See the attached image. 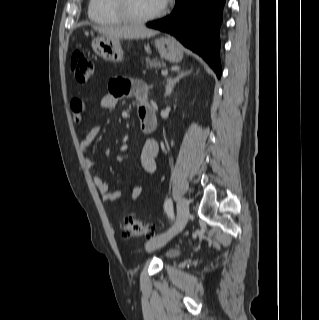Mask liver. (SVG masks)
Here are the masks:
<instances>
[{"mask_svg":"<svg viewBox=\"0 0 319 320\" xmlns=\"http://www.w3.org/2000/svg\"><path fill=\"white\" fill-rule=\"evenodd\" d=\"M103 35L124 39H139L155 36L158 31L147 29L142 25L117 26V27H94Z\"/></svg>","mask_w":319,"mask_h":320,"instance_id":"6515ba94","label":"liver"}]
</instances>
